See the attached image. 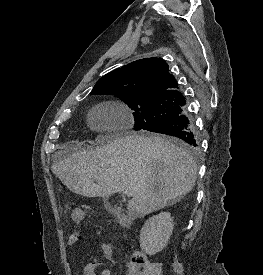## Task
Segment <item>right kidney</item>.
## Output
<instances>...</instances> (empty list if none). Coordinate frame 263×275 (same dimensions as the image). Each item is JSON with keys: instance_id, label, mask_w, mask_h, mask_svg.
<instances>
[{"instance_id": "obj_1", "label": "right kidney", "mask_w": 263, "mask_h": 275, "mask_svg": "<svg viewBox=\"0 0 263 275\" xmlns=\"http://www.w3.org/2000/svg\"><path fill=\"white\" fill-rule=\"evenodd\" d=\"M173 232V219L169 212L150 217L140 231V247L148 255L162 251Z\"/></svg>"}]
</instances>
